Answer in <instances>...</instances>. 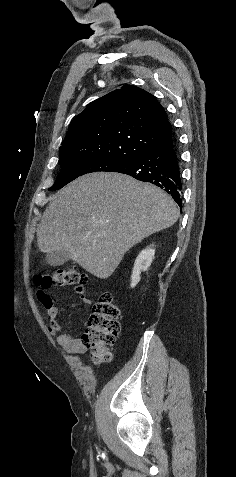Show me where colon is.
Wrapping results in <instances>:
<instances>
[{
    "mask_svg": "<svg viewBox=\"0 0 236 477\" xmlns=\"http://www.w3.org/2000/svg\"><path fill=\"white\" fill-rule=\"evenodd\" d=\"M35 282L43 289L76 286L77 291L82 292L87 276L80 270L71 268L53 274L38 275ZM120 317L121 311L114 304L112 296L109 293L101 294L83 335V342L91 350V360L94 364L104 363L111 358L110 349L114 346L121 329Z\"/></svg>",
    "mask_w": 236,
    "mask_h": 477,
    "instance_id": "5ec220e1",
    "label": "colon"
}]
</instances>
